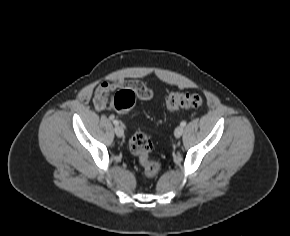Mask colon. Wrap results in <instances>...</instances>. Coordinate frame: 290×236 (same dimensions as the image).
I'll list each match as a JSON object with an SVG mask.
<instances>
[{"label": "colon", "mask_w": 290, "mask_h": 236, "mask_svg": "<svg viewBox=\"0 0 290 236\" xmlns=\"http://www.w3.org/2000/svg\"><path fill=\"white\" fill-rule=\"evenodd\" d=\"M137 93L130 87H121L113 101L115 109L124 114H130L135 106ZM203 97L198 93H183L174 91L166 98V107L170 112L179 108L200 107ZM130 151L138 158L147 178L156 177L161 171V163L150 158L153 148L151 139L141 130L133 133L129 140Z\"/></svg>", "instance_id": "1"}]
</instances>
